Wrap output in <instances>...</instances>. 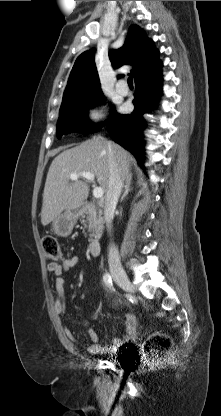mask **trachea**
I'll use <instances>...</instances> for the list:
<instances>
[{
    "mask_svg": "<svg viewBox=\"0 0 221 416\" xmlns=\"http://www.w3.org/2000/svg\"><path fill=\"white\" fill-rule=\"evenodd\" d=\"M127 83H128L129 86H133V78L129 77L128 80H127Z\"/></svg>",
    "mask_w": 221,
    "mask_h": 416,
    "instance_id": "obj_1",
    "label": "trachea"
}]
</instances>
